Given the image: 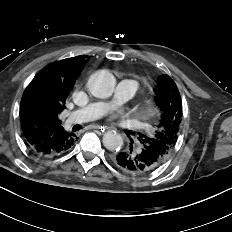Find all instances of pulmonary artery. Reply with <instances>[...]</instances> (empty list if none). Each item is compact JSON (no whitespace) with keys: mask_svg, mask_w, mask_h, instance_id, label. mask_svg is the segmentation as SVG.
<instances>
[{"mask_svg":"<svg viewBox=\"0 0 232 232\" xmlns=\"http://www.w3.org/2000/svg\"><path fill=\"white\" fill-rule=\"evenodd\" d=\"M138 89V83L134 80H121L114 94L109 101H98L88 104L86 107L72 112L65 120V126L69 127L73 124L84 123L101 117L107 113L114 105L123 103L131 99Z\"/></svg>","mask_w":232,"mask_h":232,"instance_id":"e3ab8cb5","label":"pulmonary artery"}]
</instances>
